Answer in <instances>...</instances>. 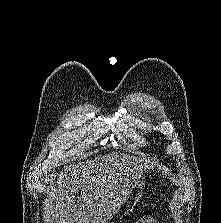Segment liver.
<instances>
[{
    "instance_id": "obj_1",
    "label": "liver",
    "mask_w": 221,
    "mask_h": 223,
    "mask_svg": "<svg viewBox=\"0 0 221 223\" xmlns=\"http://www.w3.org/2000/svg\"><path fill=\"white\" fill-rule=\"evenodd\" d=\"M139 163L146 167L144 159L111 153L65 166L64 172L57 174V187L49 196L47 220L49 223H109L140 177ZM79 189L81 195L75 203Z\"/></svg>"
}]
</instances>
